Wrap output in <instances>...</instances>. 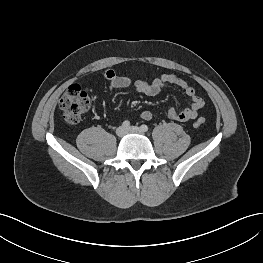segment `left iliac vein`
Segmentation results:
<instances>
[{"label":"left iliac vein","mask_w":263,"mask_h":263,"mask_svg":"<svg viewBox=\"0 0 263 263\" xmlns=\"http://www.w3.org/2000/svg\"><path fill=\"white\" fill-rule=\"evenodd\" d=\"M127 132L129 133H137V134H143V131L141 130V128L136 127V126H131L127 129Z\"/></svg>","instance_id":"1"}]
</instances>
